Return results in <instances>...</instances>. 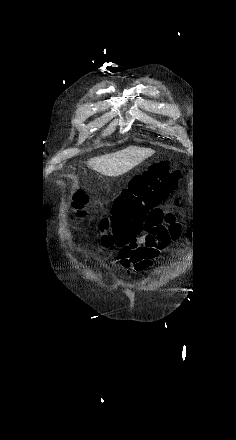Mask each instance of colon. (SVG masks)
I'll use <instances>...</instances> for the list:
<instances>
[{
    "label": "colon",
    "instance_id": "1",
    "mask_svg": "<svg viewBox=\"0 0 236 440\" xmlns=\"http://www.w3.org/2000/svg\"><path fill=\"white\" fill-rule=\"evenodd\" d=\"M180 178L178 171L166 163H157L148 171L135 176L128 188L116 199L110 216L97 225L105 245H122L131 241L140 231L147 214L175 188ZM87 197L79 190L74 196V209L84 214Z\"/></svg>",
    "mask_w": 236,
    "mask_h": 440
}]
</instances>
